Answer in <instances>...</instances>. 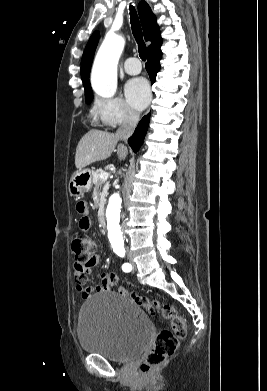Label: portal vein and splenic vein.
Returning <instances> with one entry per match:
<instances>
[{
  "instance_id": "portal-vein-and-splenic-vein-1",
  "label": "portal vein and splenic vein",
  "mask_w": 267,
  "mask_h": 391,
  "mask_svg": "<svg viewBox=\"0 0 267 391\" xmlns=\"http://www.w3.org/2000/svg\"><path fill=\"white\" fill-rule=\"evenodd\" d=\"M108 177H109V173H107V172L102 173L100 176V178L103 180H107Z\"/></svg>"
}]
</instances>
